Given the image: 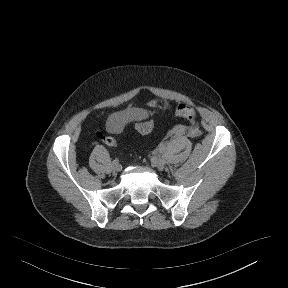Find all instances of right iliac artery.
<instances>
[{
	"instance_id": "right-iliac-artery-1",
	"label": "right iliac artery",
	"mask_w": 288,
	"mask_h": 288,
	"mask_svg": "<svg viewBox=\"0 0 288 288\" xmlns=\"http://www.w3.org/2000/svg\"><path fill=\"white\" fill-rule=\"evenodd\" d=\"M113 162H118V160H117V159H114Z\"/></svg>"
}]
</instances>
